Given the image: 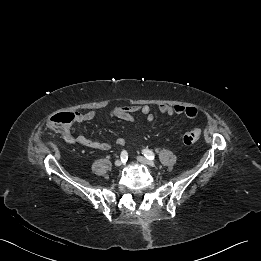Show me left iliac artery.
Masks as SVG:
<instances>
[{
	"mask_svg": "<svg viewBox=\"0 0 261 261\" xmlns=\"http://www.w3.org/2000/svg\"><path fill=\"white\" fill-rule=\"evenodd\" d=\"M142 154H144V156L149 160H154L155 158L154 153L149 149H143Z\"/></svg>",
	"mask_w": 261,
	"mask_h": 261,
	"instance_id": "1",
	"label": "left iliac artery"
}]
</instances>
